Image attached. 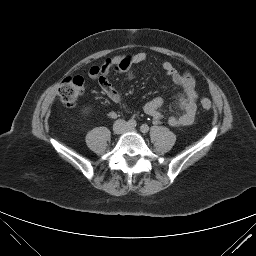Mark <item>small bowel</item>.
<instances>
[{
  "mask_svg": "<svg viewBox=\"0 0 256 256\" xmlns=\"http://www.w3.org/2000/svg\"><path fill=\"white\" fill-rule=\"evenodd\" d=\"M147 58L146 52L125 53L108 58L101 66V75L99 77V85L105 95L113 102L121 101V94L111 85L108 80V74L116 71L127 75L129 78L134 77L132 67L135 64L143 62ZM162 69L171 81L180 87L181 94L178 98L179 111L176 114L165 117L161 108L163 100L154 98L144 105V112L156 121L166 119L167 123L173 127L191 125L195 119L197 110L198 94L195 89L193 77L184 71H179L169 61L162 63Z\"/></svg>",
  "mask_w": 256,
  "mask_h": 256,
  "instance_id": "c3829d8e",
  "label": "small bowel"
}]
</instances>
